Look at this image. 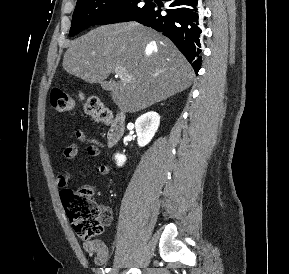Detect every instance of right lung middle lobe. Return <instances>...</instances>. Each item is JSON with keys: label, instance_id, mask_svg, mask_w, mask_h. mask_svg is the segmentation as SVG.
I'll return each instance as SVG.
<instances>
[{"label": "right lung middle lobe", "instance_id": "obj_1", "mask_svg": "<svg viewBox=\"0 0 289 274\" xmlns=\"http://www.w3.org/2000/svg\"><path fill=\"white\" fill-rule=\"evenodd\" d=\"M143 1L148 0H78L69 36L93 25L133 21L151 5Z\"/></svg>", "mask_w": 289, "mask_h": 274}]
</instances>
